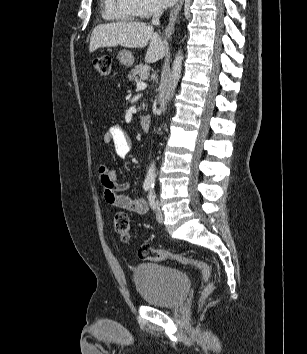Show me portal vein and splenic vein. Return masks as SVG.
I'll return each mask as SVG.
<instances>
[{
  "instance_id": "18ae733b",
  "label": "portal vein and splenic vein",
  "mask_w": 307,
  "mask_h": 354,
  "mask_svg": "<svg viewBox=\"0 0 307 354\" xmlns=\"http://www.w3.org/2000/svg\"><path fill=\"white\" fill-rule=\"evenodd\" d=\"M147 87L146 83L143 81L137 82V90H144Z\"/></svg>"
}]
</instances>
